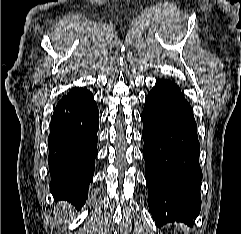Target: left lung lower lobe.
<instances>
[{
  "mask_svg": "<svg viewBox=\"0 0 241 234\" xmlns=\"http://www.w3.org/2000/svg\"><path fill=\"white\" fill-rule=\"evenodd\" d=\"M148 205L157 226L192 225L201 209L202 171L190 104L171 81L158 80L142 112Z\"/></svg>",
  "mask_w": 241,
  "mask_h": 234,
  "instance_id": "obj_1",
  "label": "left lung lower lobe"
}]
</instances>
